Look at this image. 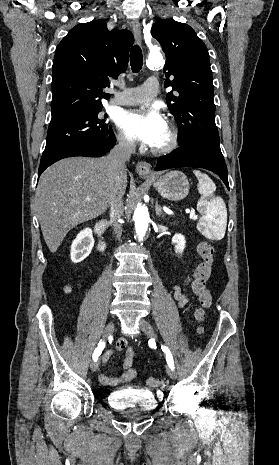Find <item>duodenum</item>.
Instances as JSON below:
<instances>
[{
    "mask_svg": "<svg viewBox=\"0 0 279 465\" xmlns=\"http://www.w3.org/2000/svg\"><path fill=\"white\" fill-rule=\"evenodd\" d=\"M106 224H107L106 220H100L99 222L96 223L94 227V233L98 237V250L102 254H104L106 251V242L103 239V231L106 227Z\"/></svg>",
    "mask_w": 279,
    "mask_h": 465,
    "instance_id": "410a0bca",
    "label": "duodenum"
}]
</instances>
